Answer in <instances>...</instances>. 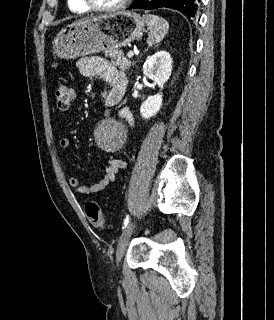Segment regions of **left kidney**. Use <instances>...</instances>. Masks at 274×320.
<instances>
[{
    "label": "left kidney",
    "instance_id": "5707ae66",
    "mask_svg": "<svg viewBox=\"0 0 274 320\" xmlns=\"http://www.w3.org/2000/svg\"><path fill=\"white\" fill-rule=\"evenodd\" d=\"M172 70V58L168 52H156L153 56H150L146 60L143 66V74L153 80L154 84H158L159 88L163 90L164 84L168 82L171 76ZM162 92L155 94V96H149L145 102H142L140 106V114L142 118L148 120L152 116H156L157 112L161 110L163 104Z\"/></svg>",
    "mask_w": 274,
    "mask_h": 320
}]
</instances>
